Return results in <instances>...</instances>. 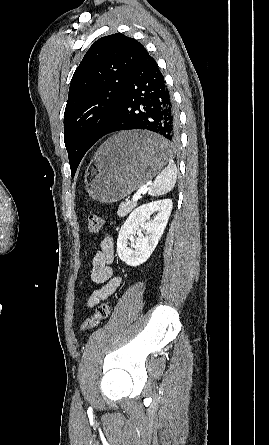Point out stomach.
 <instances>
[{"instance_id": "stomach-1", "label": "stomach", "mask_w": 269, "mask_h": 445, "mask_svg": "<svg viewBox=\"0 0 269 445\" xmlns=\"http://www.w3.org/2000/svg\"><path fill=\"white\" fill-rule=\"evenodd\" d=\"M166 141L147 131L120 132L97 150L87 188L100 203L122 200L149 182L169 161Z\"/></svg>"}]
</instances>
